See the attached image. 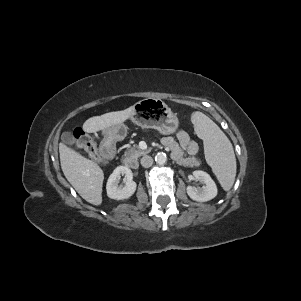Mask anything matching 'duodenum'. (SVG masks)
<instances>
[{
  "instance_id": "1",
  "label": "duodenum",
  "mask_w": 301,
  "mask_h": 301,
  "mask_svg": "<svg viewBox=\"0 0 301 301\" xmlns=\"http://www.w3.org/2000/svg\"><path fill=\"white\" fill-rule=\"evenodd\" d=\"M99 157L101 160L106 162H113L117 158L116 144L112 140H105L102 142L99 149ZM136 162L132 159L125 161V166L130 169L136 168Z\"/></svg>"
}]
</instances>
